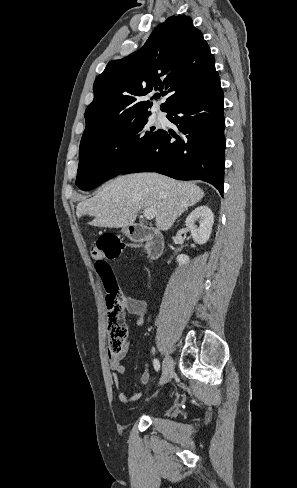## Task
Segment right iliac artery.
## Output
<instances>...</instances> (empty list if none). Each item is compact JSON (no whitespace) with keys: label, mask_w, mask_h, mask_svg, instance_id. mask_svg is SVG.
Here are the masks:
<instances>
[{"label":"right iliac artery","mask_w":297,"mask_h":488,"mask_svg":"<svg viewBox=\"0 0 297 488\" xmlns=\"http://www.w3.org/2000/svg\"><path fill=\"white\" fill-rule=\"evenodd\" d=\"M153 366H154V369L156 371H159V369H160V363H159V361L157 359H154L153 360Z\"/></svg>","instance_id":"1"}]
</instances>
